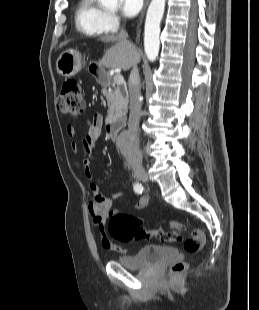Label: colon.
<instances>
[{
    "label": "colon",
    "mask_w": 259,
    "mask_h": 310,
    "mask_svg": "<svg viewBox=\"0 0 259 310\" xmlns=\"http://www.w3.org/2000/svg\"><path fill=\"white\" fill-rule=\"evenodd\" d=\"M84 98L79 82L75 80L65 81L57 97V109L60 113L68 116H79L84 111ZM143 220L128 213H115L110 217L108 232L111 237L119 242H130L157 238L162 242H179L181 232L186 230L181 222H169V231L162 229H146ZM204 245V234L200 229H194L191 236L184 241V249L189 254L201 251ZM187 268L183 261L175 263L172 272H182Z\"/></svg>",
    "instance_id": "5ec220e1"
}]
</instances>
